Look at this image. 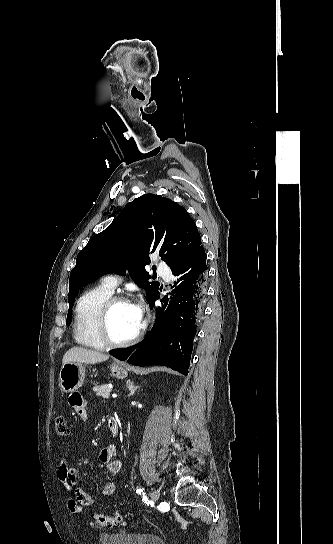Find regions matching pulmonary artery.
<instances>
[{
  "label": "pulmonary artery",
  "mask_w": 333,
  "mask_h": 544,
  "mask_svg": "<svg viewBox=\"0 0 333 544\" xmlns=\"http://www.w3.org/2000/svg\"><path fill=\"white\" fill-rule=\"evenodd\" d=\"M157 272L160 276H162L166 280H169L171 278V272L164 263H160L158 265ZM102 284L109 290L114 291L117 285L119 284V279L118 277L114 275H108L102 279Z\"/></svg>",
  "instance_id": "e3ab8cb5"
}]
</instances>
